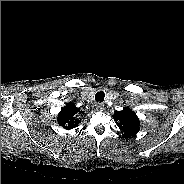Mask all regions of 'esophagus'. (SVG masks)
I'll use <instances>...</instances> for the list:
<instances>
[{
  "label": "esophagus",
  "instance_id": "obj_1",
  "mask_svg": "<svg viewBox=\"0 0 184 184\" xmlns=\"http://www.w3.org/2000/svg\"><path fill=\"white\" fill-rule=\"evenodd\" d=\"M104 104L103 103H97L96 104V109L98 110V111H103L104 110Z\"/></svg>",
  "mask_w": 184,
  "mask_h": 184
}]
</instances>
